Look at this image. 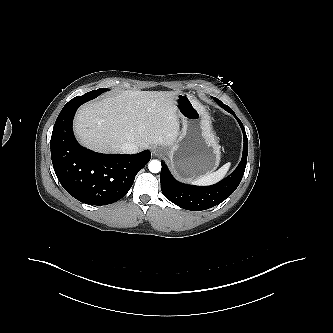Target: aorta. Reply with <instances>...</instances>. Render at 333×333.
Segmentation results:
<instances>
[{"instance_id": "762f6f07", "label": "aorta", "mask_w": 333, "mask_h": 333, "mask_svg": "<svg viewBox=\"0 0 333 333\" xmlns=\"http://www.w3.org/2000/svg\"><path fill=\"white\" fill-rule=\"evenodd\" d=\"M148 169L152 173H158L161 170V162L158 160H151L148 164Z\"/></svg>"}]
</instances>
